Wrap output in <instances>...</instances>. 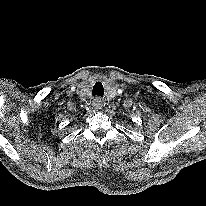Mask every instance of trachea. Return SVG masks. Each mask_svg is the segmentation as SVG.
I'll return each mask as SVG.
<instances>
[{"label": "trachea", "instance_id": "3493384b", "mask_svg": "<svg viewBox=\"0 0 206 206\" xmlns=\"http://www.w3.org/2000/svg\"><path fill=\"white\" fill-rule=\"evenodd\" d=\"M92 95L93 96H99V97H103L104 95V88L103 85L100 82H97L92 90Z\"/></svg>", "mask_w": 206, "mask_h": 206}]
</instances>
